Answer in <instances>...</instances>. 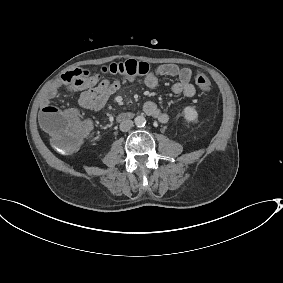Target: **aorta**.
<instances>
[{
	"label": "aorta",
	"mask_w": 283,
	"mask_h": 283,
	"mask_svg": "<svg viewBox=\"0 0 283 283\" xmlns=\"http://www.w3.org/2000/svg\"><path fill=\"white\" fill-rule=\"evenodd\" d=\"M135 125L138 127H143L146 124V119L144 118V116H137L134 119Z\"/></svg>",
	"instance_id": "762f6f07"
}]
</instances>
